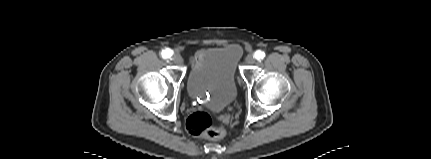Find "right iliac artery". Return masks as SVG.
I'll return each mask as SVG.
<instances>
[{
    "label": "right iliac artery",
    "instance_id": "1",
    "mask_svg": "<svg viewBox=\"0 0 431 159\" xmlns=\"http://www.w3.org/2000/svg\"><path fill=\"white\" fill-rule=\"evenodd\" d=\"M161 55L164 59H167L173 55V51L171 49L167 48L161 52Z\"/></svg>",
    "mask_w": 431,
    "mask_h": 159
}]
</instances>
